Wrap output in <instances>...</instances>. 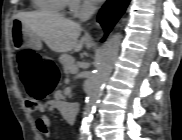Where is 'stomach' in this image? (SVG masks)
Listing matches in <instances>:
<instances>
[{
    "label": "stomach",
    "mask_w": 182,
    "mask_h": 140,
    "mask_svg": "<svg viewBox=\"0 0 182 140\" xmlns=\"http://www.w3.org/2000/svg\"><path fill=\"white\" fill-rule=\"evenodd\" d=\"M12 42L16 48L38 49L41 47V40L35 35V31H28L19 19L12 22Z\"/></svg>",
    "instance_id": "stomach-1"
}]
</instances>
